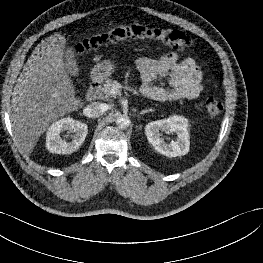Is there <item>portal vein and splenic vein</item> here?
Wrapping results in <instances>:
<instances>
[{
	"label": "portal vein and splenic vein",
	"mask_w": 263,
	"mask_h": 263,
	"mask_svg": "<svg viewBox=\"0 0 263 263\" xmlns=\"http://www.w3.org/2000/svg\"><path fill=\"white\" fill-rule=\"evenodd\" d=\"M120 88L119 84L115 85L113 88H112V93L113 94H117V92L119 91L118 89Z\"/></svg>",
	"instance_id": "portal-vein-and-splenic-vein-1"
}]
</instances>
